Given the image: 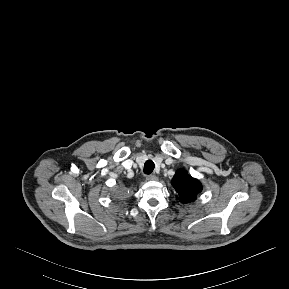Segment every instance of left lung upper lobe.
I'll use <instances>...</instances> for the list:
<instances>
[{"mask_svg": "<svg viewBox=\"0 0 289 289\" xmlns=\"http://www.w3.org/2000/svg\"><path fill=\"white\" fill-rule=\"evenodd\" d=\"M172 185L179 194L180 200L184 203L194 201L196 195L202 191L201 183L188 175L183 169L176 171V174L172 179Z\"/></svg>", "mask_w": 289, "mask_h": 289, "instance_id": "obj_1", "label": "left lung upper lobe"}]
</instances>
